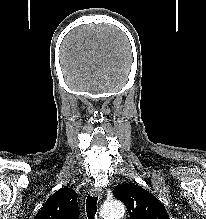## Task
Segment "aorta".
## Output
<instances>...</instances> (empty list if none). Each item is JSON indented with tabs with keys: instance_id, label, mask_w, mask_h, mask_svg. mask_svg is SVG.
I'll return each mask as SVG.
<instances>
[{
	"instance_id": "1",
	"label": "aorta",
	"mask_w": 206,
	"mask_h": 219,
	"mask_svg": "<svg viewBox=\"0 0 206 219\" xmlns=\"http://www.w3.org/2000/svg\"><path fill=\"white\" fill-rule=\"evenodd\" d=\"M125 213V207L121 201L113 200L103 205L101 216L103 219H121Z\"/></svg>"
}]
</instances>
